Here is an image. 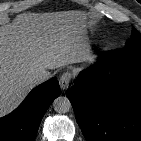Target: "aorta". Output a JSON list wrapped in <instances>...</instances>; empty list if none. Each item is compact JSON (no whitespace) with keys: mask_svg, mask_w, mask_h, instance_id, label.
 Returning <instances> with one entry per match:
<instances>
[{"mask_svg":"<svg viewBox=\"0 0 141 141\" xmlns=\"http://www.w3.org/2000/svg\"><path fill=\"white\" fill-rule=\"evenodd\" d=\"M53 107L58 113H67L71 109V102L67 97L59 96L54 100Z\"/></svg>","mask_w":141,"mask_h":141,"instance_id":"1","label":"aorta"}]
</instances>
